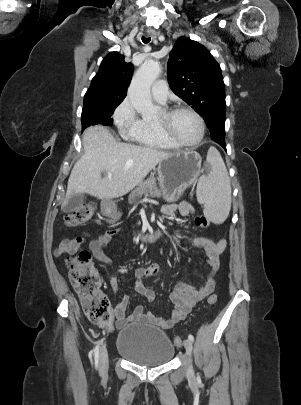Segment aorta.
<instances>
[{"instance_id":"762f6f07","label":"aorta","mask_w":301,"mask_h":405,"mask_svg":"<svg viewBox=\"0 0 301 405\" xmlns=\"http://www.w3.org/2000/svg\"><path fill=\"white\" fill-rule=\"evenodd\" d=\"M160 73L159 62L148 60L135 73L128 88L132 106L143 116L151 115L156 111L151 100L150 88Z\"/></svg>"}]
</instances>
